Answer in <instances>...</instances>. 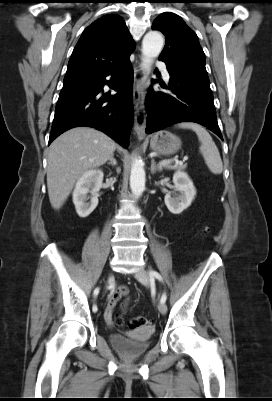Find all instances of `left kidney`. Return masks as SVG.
I'll list each match as a JSON object with an SVG mask.
<instances>
[{
    "mask_svg": "<svg viewBox=\"0 0 272 401\" xmlns=\"http://www.w3.org/2000/svg\"><path fill=\"white\" fill-rule=\"evenodd\" d=\"M173 183L175 192L166 194L164 201L171 213L180 214L191 205L196 189L189 176L181 171L173 175Z\"/></svg>",
    "mask_w": 272,
    "mask_h": 401,
    "instance_id": "obj_1",
    "label": "left kidney"
}]
</instances>
